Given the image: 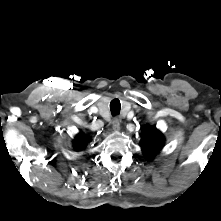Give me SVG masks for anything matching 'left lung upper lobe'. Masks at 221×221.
Returning a JSON list of instances; mask_svg holds the SVG:
<instances>
[{"label": "left lung upper lobe", "instance_id": "1", "mask_svg": "<svg viewBox=\"0 0 221 221\" xmlns=\"http://www.w3.org/2000/svg\"><path fill=\"white\" fill-rule=\"evenodd\" d=\"M164 145V136L155 126H146L143 131L141 147L146 158L152 157L161 150Z\"/></svg>", "mask_w": 221, "mask_h": 221}]
</instances>
